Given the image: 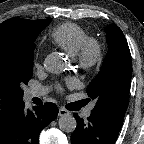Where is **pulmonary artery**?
Segmentation results:
<instances>
[{"label":"pulmonary artery","instance_id":"1","mask_svg":"<svg viewBox=\"0 0 144 144\" xmlns=\"http://www.w3.org/2000/svg\"><path fill=\"white\" fill-rule=\"evenodd\" d=\"M46 89L42 88V89H31L28 92V95L30 98L32 97H40V96H44L46 94ZM94 105L92 104L90 107H88L85 112H84V117L87 118L90 116L91 111L93 109Z\"/></svg>","mask_w":144,"mask_h":144}]
</instances>
